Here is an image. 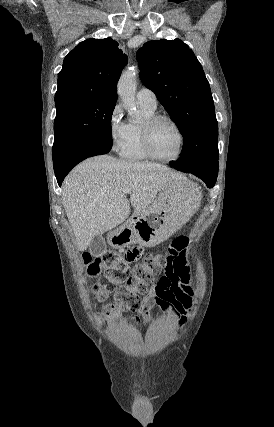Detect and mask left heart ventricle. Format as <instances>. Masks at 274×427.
<instances>
[{
	"label": "left heart ventricle",
	"instance_id": "left-heart-ventricle-1",
	"mask_svg": "<svg viewBox=\"0 0 274 427\" xmlns=\"http://www.w3.org/2000/svg\"><path fill=\"white\" fill-rule=\"evenodd\" d=\"M151 141L154 151L163 158H173L179 151V135L167 122H159L154 127Z\"/></svg>",
	"mask_w": 274,
	"mask_h": 427
}]
</instances>
